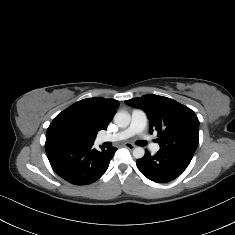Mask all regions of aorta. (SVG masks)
<instances>
[{"mask_svg": "<svg viewBox=\"0 0 235 235\" xmlns=\"http://www.w3.org/2000/svg\"><path fill=\"white\" fill-rule=\"evenodd\" d=\"M131 121V116L127 111H120L117 112L114 116V123L121 128H125L129 126ZM145 151L142 147H136L133 150V156L136 159H140L144 156Z\"/></svg>", "mask_w": 235, "mask_h": 235, "instance_id": "1", "label": "aorta"}]
</instances>
